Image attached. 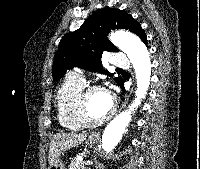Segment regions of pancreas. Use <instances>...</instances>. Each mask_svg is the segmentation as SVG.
Segmentation results:
<instances>
[{"instance_id": "1", "label": "pancreas", "mask_w": 200, "mask_h": 169, "mask_svg": "<svg viewBox=\"0 0 200 169\" xmlns=\"http://www.w3.org/2000/svg\"><path fill=\"white\" fill-rule=\"evenodd\" d=\"M69 169H90V168L85 167L83 161L74 158L69 165Z\"/></svg>"}]
</instances>
